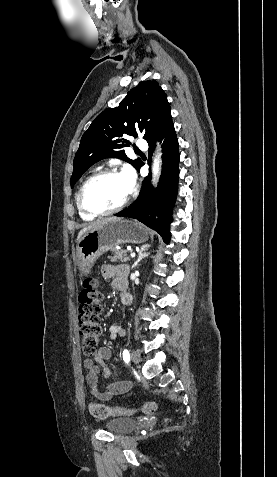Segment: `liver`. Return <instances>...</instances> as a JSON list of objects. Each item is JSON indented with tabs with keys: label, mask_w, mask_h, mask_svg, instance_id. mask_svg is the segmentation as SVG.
Segmentation results:
<instances>
[{
	"label": "liver",
	"mask_w": 277,
	"mask_h": 477,
	"mask_svg": "<svg viewBox=\"0 0 277 477\" xmlns=\"http://www.w3.org/2000/svg\"><path fill=\"white\" fill-rule=\"evenodd\" d=\"M120 219H121V218L112 217V218H107V219H104V220L97 221V222H95V223H93V224H91V225H89V226L83 228V229L79 232V234H78V239H79V237H80L82 234H84L85 232L91 230V229L94 228L95 226H97V225H99V224H101V223H103V222H105V221H109V220H120Z\"/></svg>",
	"instance_id": "6515ba94"
}]
</instances>
